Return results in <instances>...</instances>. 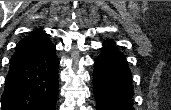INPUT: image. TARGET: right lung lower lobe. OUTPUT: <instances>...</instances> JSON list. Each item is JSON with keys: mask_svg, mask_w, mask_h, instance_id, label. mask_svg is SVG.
<instances>
[{"mask_svg": "<svg viewBox=\"0 0 171 110\" xmlns=\"http://www.w3.org/2000/svg\"><path fill=\"white\" fill-rule=\"evenodd\" d=\"M59 60L47 34L17 47L1 97L2 110H55Z\"/></svg>", "mask_w": 171, "mask_h": 110, "instance_id": "98d812e1", "label": "right lung lower lobe"}]
</instances>
